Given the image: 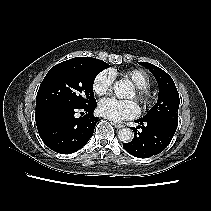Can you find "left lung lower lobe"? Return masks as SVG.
Returning a JSON list of instances; mask_svg holds the SVG:
<instances>
[{"mask_svg": "<svg viewBox=\"0 0 211 211\" xmlns=\"http://www.w3.org/2000/svg\"><path fill=\"white\" fill-rule=\"evenodd\" d=\"M138 127H132L134 138L124 143V149L138 158H149L161 153L171 142L177 127L156 119H139ZM141 128V131L138 129Z\"/></svg>", "mask_w": 211, "mask_h": 211, "instance_id": "1", "label": "left lung lower lobe"}]
</instances>
